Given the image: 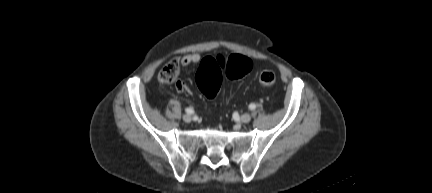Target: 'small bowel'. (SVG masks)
Masks as SVG:
<instances>
[{"label": "small bowel", "mask_w": 432, "mask_h": 193, "mask_svg": "<svg viewBox=\"0 0 432 193\" xmlns=\"http://www.w3.org/2000/svg\"><path fill=\"white\" fill-rule=\"evenodd\" d=\"M200 60H201V56L199 53H196V52L195 53H189V54L184 55L181 58V64H182V66L186 67V66L197 64ZM176 86L179 90H181L184 88V83L181 81H178Z\"/></svg>", "instance_id": "obj_1"}]
</instances>
